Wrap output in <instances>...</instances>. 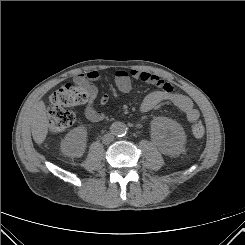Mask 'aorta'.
Listing matches in <instances>:
<instances>
[{"instance_id": "obj_1", "label": "aorta", "mask_w": 245, "mask_h": 245, "mask_svg": "<svg viewBox=\"0 0 245 245\" xmlns=\"http://www.w3.org/2000/svg\"><path fill=\"white\" fill-rule=\"evenodd\" d=\"M127 131V126L122 122H116L111 125V132L115 136H123Z\"/></svg>"}]
</instances>
